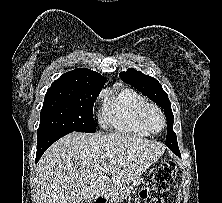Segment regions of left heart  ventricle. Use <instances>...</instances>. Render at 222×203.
Listing matches in <instances>:
<instances>
[{
	"label": "left heart ventricle",
	"mask_w": 222,
	"mask_h": 203,
	"mask_svg": "<svg viewBox=\"0 0 222 203\" xmlns=\"http://www.w3.org/2000/svg\"><path fill=\"white\" fill-rule=\"evenodd\" d=\"M148 121H149V124L153 130H155V131L161 130L162 119L157 112H155V111L150 112L149 117H148Z\"/></svg>",
	"instance_id": "left-heart-ventricle-1"
}]
</instances>
